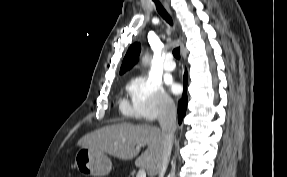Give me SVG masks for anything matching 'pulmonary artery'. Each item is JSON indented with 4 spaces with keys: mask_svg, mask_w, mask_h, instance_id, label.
I'll list each match as a JSON object with an SVG mask.
<instances>
[{
    "mask_svg": "<svg viewBox=\"0 0 287 177\" xmlns=\"http://www.w3.org/2000/svg\"><path fill=\"white\" fill-rule=\"evenodd\" d=\"M163 68L168 71V72H171L175 69V63H174V60H173V55L172 53L170 52H167L165 54V60H164V63H163Z\"/></svg>",
    "mask_w": 287,
    "mask_h": 177,
    "instance_id": "e3ab8cb5",
    "label": "pulmonary artery"
}]
</instances>
